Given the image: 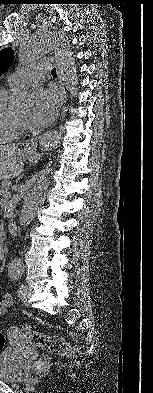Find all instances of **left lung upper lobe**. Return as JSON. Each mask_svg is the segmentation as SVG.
I'll use <instances>...</instances> for the list:
<instances>
[{
	"label": "left lung upper lobe",
	"instance_id": "obj_1",
	"mask_svg": "<svg viewBox=\"0 0 153 393\" xmlns=\"http://www.w3.org/2000/svg\"><path fill=\"white\" fill-rule=\"evenodd\" d=\"M14 52L11 48H4L0 51V76L5 73L13 63Z\"/></svg>",
	"mask_w": 153,
	"mask_h": 393
}]
</instances>
